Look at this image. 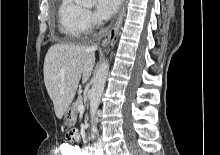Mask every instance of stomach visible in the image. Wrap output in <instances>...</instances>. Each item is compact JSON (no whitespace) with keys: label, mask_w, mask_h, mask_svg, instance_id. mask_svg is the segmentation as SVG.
Wrapping results in <instances>:
<instances>
[{"label":"stomach","mask_w":220,"mask_h":155,"mask_svg":"<svg viewBox=\"0 0 220 155\" xmlns=\"http://www.w3.org/2000/svg\"><path fill=\"white\" fill-rule=\"evenodd\" d=\"M76 121V114L73 110H67L64 114V126H73Z\"/></svg>","instance_id":"stomach-1"}]
</instances>
